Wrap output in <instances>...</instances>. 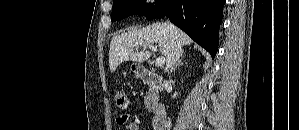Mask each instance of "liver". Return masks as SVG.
Here are the masks:
<instances>
[{
	"label": "liver",
	"instance_id": "liver-1",
	"mask_svg": "<svg viewBox=\"0 0 299 130\" xmlns=\"http://www.w3.org/2000/svg\"><path fill=\"white\" fill-rule=\"evenodd\" d=\"M177 39L181 46L190 45L191 38L182 30L176 28ZM157 43L161 54L168 56L172 50L173 38L168 24L156 23L142 29H132L116 35L110 42L109 67L113 73L119 64L124 61L144 62L150 58L151 52L143 50L138 52L136 48ZM136 50V51H134Z\"/></svg>",
	"mask_w": 299,
	"mask_h": 130
}]
</instances>
